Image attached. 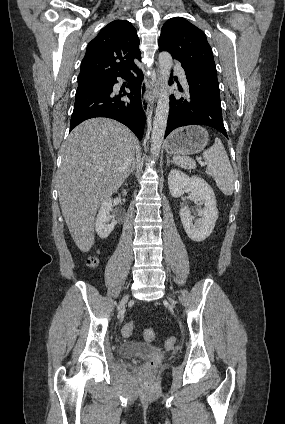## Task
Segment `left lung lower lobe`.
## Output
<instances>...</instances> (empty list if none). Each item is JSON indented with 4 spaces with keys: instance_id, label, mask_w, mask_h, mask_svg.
<instances>
[{
    "instance_id": "obj_1",
    "label": "left lung lower lobe",
    "mask_w": 285,
    "mask_h": 424,
    "mask_svg": "<svg viewBox=\"0 0 285 424\" xmlns=\"http://www.w3.org/2000/svg\"><path fill=\"white\" fill-rule=\"evenodd\" d=\"M185 73L189 84L188 96H170L165 137L178 127L198 124L213 127L228 138L222 119L217 71L212 68H197ZM169 83L172 84L173 81L170 79Z\"/></svg>"
}]
</instances>
